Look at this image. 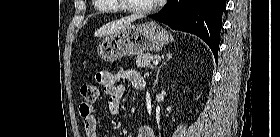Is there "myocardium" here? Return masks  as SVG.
<instances>
[{
  "instance_id": "obj_1",
  "label": "myocardium",
  "mask_w": 280,
  "mask_h": 137,
  "mask_svg": "<svg viewBox=\"0 0 280 137\" xmlns=\"http://www.w3.org/2000/svg\"><path fill=\"white\" fill-rule=\"evenodd\" d=\"M160 3L156 2L153 5L147 7V8H137V7H132L129 5H122L123 9L130 12V13H137V14H149L153 11H155Z\"/></svg>"
}]
</instances>
